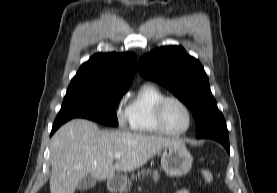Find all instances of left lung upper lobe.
<instances>
[{
  "instance_id": "obj_1",
  "label": "left lung upper lobe",
  "mask_w": 277,
  "mask_h": 193,
  "mask_svg": "<svg viewBox=\"0 0 277 193\" xmlns=\"http://www.w3.org/2000/svg\"><path fill=\"white\" fill-rule=\"evenodd\" d=\"M138 69L143 77L165 86L191 109L197 138L227 128L202 65L181 46L155 49L139 59Z\"/></svg>"
}]
</instances>
